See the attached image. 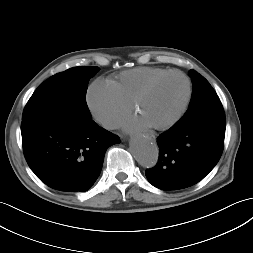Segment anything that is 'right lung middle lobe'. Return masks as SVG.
Listing matches in <instances>:
<instances>
[{
	"instance_id": "obj_1",
	"label": "right lung middle lobe",
	"mask_w": 253,
	"mask_h": 253,
	"mask_svg": "<svg viewBox=\"0 0 253 253\" xmlns=\"http://www.w3.org/2000/svg\"><path fill=\"white\" fill-rule=\"evenodd\" d=\"M98 67H74L44 81L27 102L21 131L60 115L91 117L86 104L88 81Z\"/></svg>"
}]
</instances>
